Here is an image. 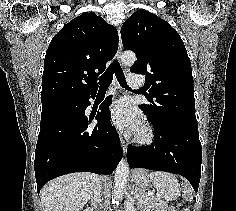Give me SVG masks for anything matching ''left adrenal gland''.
Wrapping results in <instances>:
<instances>
[{
    "mask_svg": "<svg viewBox=\"0 0 236 211\" xmlns=\"http://www.w3.org/2000/svg\"><path fill=\"white\" fill-rule=\"evenodd\" d=\"M134 194V189L132 188L131 189V195H133ZM133 201H134V199H133Z\"/></svg>",
    "mask_w": 236,
    "mask_h": 211,
    "instance_id": "a2214340",
    "label": "left adrenal gland"
}]
</instances>
